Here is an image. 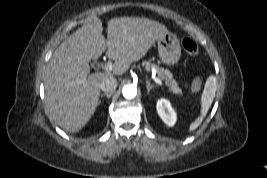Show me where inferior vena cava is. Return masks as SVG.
Returning a JSON list of instances; mask_svg holds the SVG:
<instances>
[{
    "label": "inferior vena cava",
    "mask_w": 267,
    "mask_h": 178,
    "mask_svg": "<svg viewBox=\"0 0 267 178\" xmlns=\"http://www.w3.org/2000/svg\"><path fill=\"white\" fill-rule=\"evenodd\" d=\"M117 85L118 83H117L116 78H114L113 76H109L101 82L100 89L104 93H113Z\"/></svg>",
    "instance_id": "obj_1"
}]
</instances>
